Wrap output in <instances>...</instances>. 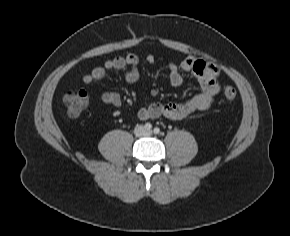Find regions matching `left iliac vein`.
Here are the masks:
<instances>
[{"label": "left iliac vein", "mask_w": 290, "mask_h": 236, "mask_svg": "<svg viewBox=\"0 0 290 236\" xmlns=\"http://www.w3.org/2000/svg\"><path fill=\"white\" fill-rule=\"evenodd\" d=\"M148 134H151V131H148Z\"/></svg>", "instance_id": "obj_1"}]
</instances>
